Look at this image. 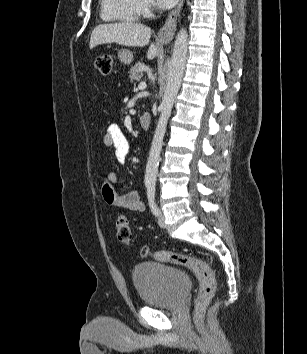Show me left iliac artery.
<instances>
[{
    "label": "left iliac artery",
    "mask_w": 307,
    "mask_h": 354,
    "mask_svg": "<svg viewBox=\"0 0 307 354\" xmlns=\"http://www.w3.org/2000/svg\"><path fill=\"white\" fill-rule=\"evenodd\" d=\"M147 197H148V202H149L151 212L155 216H158L159 209H158V207L156 205V201H155V184H148L147 185Z\"/></svg>",
    "instance_id": "1"
}]
</instances>
